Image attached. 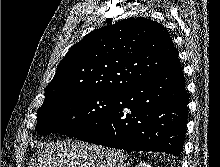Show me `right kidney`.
<instances>
[{"instance_id":"1","label":"right kidney","mask_w":220,"mask_h":167,"mask_svg":"<svg viewBox=\"0 0 220 167\" xmlns=\"http://www.w3.org/2000/svg\"><path fill=\"white\" fill-rule=\"evenodd\" d=\"M136 167H151V165L147 162H140Z\"/></svg>"}]
</instances>
